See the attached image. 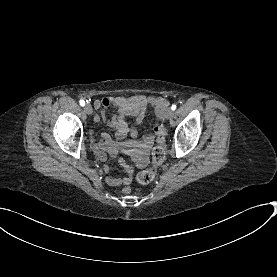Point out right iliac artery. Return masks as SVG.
<instances>
[{"mask_svg": "<svg viewBox=\"0 0 277 277\" xmlns=\"http://www.w3.org/2000/svg\"><path fill=\"white\" fill-rule=\"evenodd\" d=\"M80 105H81V106H84V105H85V101L81 99V100H80Z\"/></svg>", "mask_w": 277, "mask_h": 277, "instance_id": "1", "label": "right iliac artery"}]
</instances>
